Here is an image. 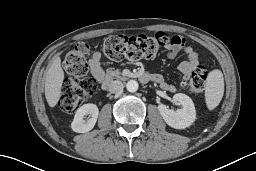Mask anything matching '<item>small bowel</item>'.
<instances>
[{
    "label": "small bowel",
    "mask_w": 256,
    "mask_h": 171,
    "mask_svg": "<svg viewBox=\"0 0 256 171\" xmlns=\"http://www.w3.org/2000/svg\"><path fill=\"white\" fill-rule=\"evenodd\" d=\"M168 58L174 59L179 52H183L187 56V60L182 61L178 68L180 72L186 77L198 66V53L191 47L186 45L185 39L181 36H174L167 45ZM102 53L100 51L94 52L89 59V67L91 73L96 81L100 82L105 76L104 66L102 64ZM152 80L160 84V86L168 91H173L174 86L168 83L161 75H152Z\"/></svg>",
    "instance_id": "c3829d8e"
}]
</instances>
